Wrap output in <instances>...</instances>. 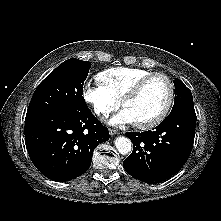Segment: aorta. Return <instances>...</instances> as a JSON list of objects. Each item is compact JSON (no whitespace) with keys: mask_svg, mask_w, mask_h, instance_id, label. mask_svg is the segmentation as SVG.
I'll use <instances>...</instances> for the list:
<instances>
[{"mask_svg":"<svg viewBox=\"0 0 221 221\" xmlns=\"http://www.w3.org/2000/svg\"><path fill=\"white\" fill-rule=\"evenodd\" d=\"M114 144L120 154L126 155L132 150V143L130 139L124 136L117 137L114 141Z\"/></svg>","mask_w":221,"mask_h":221,"instance_id":"762f6f07","label":"aorta"}]
</instances>
